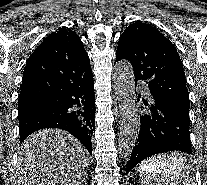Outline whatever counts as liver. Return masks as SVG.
<instances>
[{"mask_svg": "<svg viewBox=\"0 0 207 185\" xmlns=\"http://www.w3.org/2000/svg\"><path fill=\"white\" fill-rule=\"evenodd\" d=\"M90 165L84 145L62 129H41L23 141L12 185H81Z\"/></svg>", "mask_w": 207, "mask_h": 185, "instance_id": "1", "label": "liver"}]
</instances>
